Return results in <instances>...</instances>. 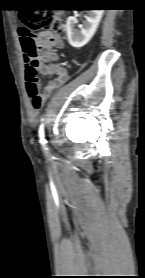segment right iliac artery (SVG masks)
Wrapping results in <instances>:
<instances>
[{"mask_svg": "<svg viewBox=\"0 0 145 278\" xmlns=\"http://www.w3.org/2000/svg\"><path fill=\"white\" fill-rule=\"evenodd\" d=\"M39 137H40V143L45 146L47 141L44 138V126L43 124L39 128Z\"/></svg>", "mask_w": 145, "mask_h": 278, "instance_id": "obj_1", "label": "right iliac artery"}]
</instances>
